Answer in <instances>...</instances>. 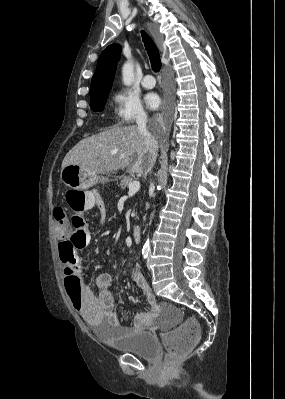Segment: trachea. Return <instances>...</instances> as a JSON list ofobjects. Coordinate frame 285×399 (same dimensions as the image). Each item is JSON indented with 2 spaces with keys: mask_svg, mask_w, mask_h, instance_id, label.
<instances>
[{
  "mask_svg": "<svg viewBox=\"0 0 285 399\" xmlns=\"http://www.w3.org/2000/svg\"><path fill=\"white\" fill-rule=\"evenodd\" d=\"M142 37H143L144 46L147 50L150 59L152 70L155 72H159L161 68L159 51L147 33L142 32Z\"/></svg>",
  "mask_w": 285,
  "mask_h": 399,
  "instance_id": "1",
  "label": "trachea"
}]
</instances>
